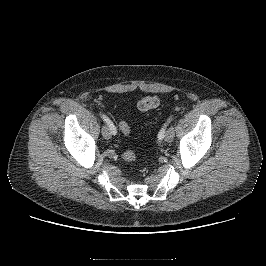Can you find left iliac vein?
Instances as JSON below:
<instances>
[{
    "label": "left iliac vein",
    "instance_id": "1",
    "mask_svg": "<svg viewBox=\"0 0 266 266\" xmlns=\"http://www.w3.org/2000/svg\"><path fill=\"white\" fill-rule=\"evenodd\" d=\"M174 135H175L174 129H173L172 127L169 128V129L166 131L165 136H164L165 141H166V142H171V141L173 140V138H174Z\"/></svg>",
    "mask_w": 266,
    "mask_h": 266
}]
</instances>
